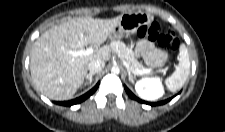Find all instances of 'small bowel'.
<instances>
[{
	"instance_id": "c3829d8e",
	"label": "small bowel",
	"mask_w": 225,
	"mask_h": 132,
	"mask_svg": "<svg viewBox=\"0 0 225 132\" xmlns=\"http://www.w3.org/2000/svg\"><path fill=\"white\" fill-rule=\"evenodd\" d=\"M136 53L144 60L146 65L151 67L161 66L166 60L165 53L147 40L138 42Z\"/></svg>"
}]
</instances>
